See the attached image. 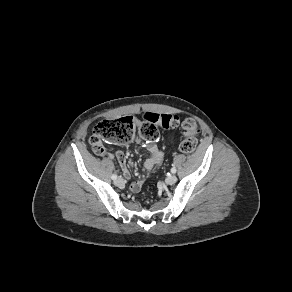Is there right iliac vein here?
<instances>
[{
	"label": "right iliac vein",
	"instance_id": "obj_1",
	"mask_svg": "<svg viewBox=\"0 0 292 292\" xmlns=\"http://www.w3.org/2000/svg\"><path fill=\"white\" fill-rule=\"evenodd\" d=\"M114 184L118 186L119 188H122L124 186V180L121 177H118L115 181Z\"/></svg>",
	"mask_w": 292,
	"mask_h": 292
}]
</instances>
